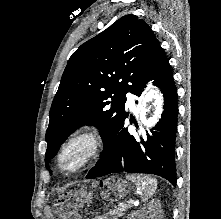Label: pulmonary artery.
<instances>
[{
    "label": "pulmonary artery",
    "instance_id": "pulmonary-artery-1",
    "mask_svg": "<svg viewBox=\"0 0 221 219\" xmlns=\"http://www.w3.org/2000/svg\"><path fill=\"white\" fill-rule=\"evenodd\" d=\"M127 103L131 108L134 107V98L131 94L127 95Z\"/></svg>",
    "mask_w": 221,
    "mask_h": 219
}]
</instances>
